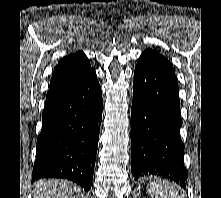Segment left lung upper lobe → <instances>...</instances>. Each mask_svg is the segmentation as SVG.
Listing matches in <instances>:
<instances>
[{
    "mask_svg": "<svg viewBox=\"0 0 221 198\" xmlns=\"http://www.w3.org/2000/svg\"><path fill=\"white\" fill-rule=\"evenodd\" d=\"M145 53H150V54H153V55H157L159 57H161L163 60H165L170 66H172L169 61L166 60V58L164 56H162L161 54H159L157 51L155 50H152V49H147L144 51Z\"/></svg>",
    "mask_w": 221,
    "mask_h": 198,
    "instance_id": "obj_1",
    "label": "left lung upper lobe"
}]
</instances>
